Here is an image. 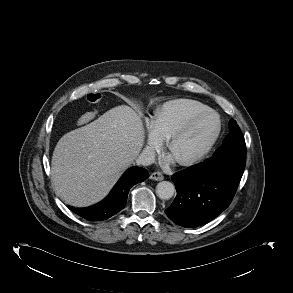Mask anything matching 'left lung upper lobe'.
I'll return each instance as SVG.
<instances>
[{
  "instance_id": "1",
  "label": "left lung upper lobe",
  "mask_w": 293,
  "mask_h": 293,
  "mask_svg": "<svg viewBox=\"0 0 293 293\" xmlns=\"http://www.w3.org/2000/svg\"><path fill=\"white\" fill-rule=\"evenodd\" d=\"M230 133L225 138L223 145L219 147L216 152L214 153L212 158L220 157L222 154L226 153L227 151H234L237 148H245V140L242 135V132L237 125L235 120H230Z\"/></svg>"
}]
</instances>
